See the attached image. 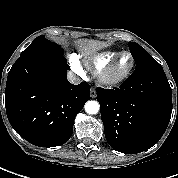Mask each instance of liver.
Listing matches in <instances>:
<instances>
[{"label": "liver", "mask_w": 178, "mask_h": 178, "mask_svg": "<svg viewBox=\"0 0 178 178\" xmlns=\"http://www.w3.org/2000/svg\"><path fill=\"white\" fill-rule=\"evenodd\" d=\"M77 45L82 51L86 53H94L103 47L104 43L96 40H79Z\"/></svg>", "instance_id": "liver-1"}]
</instances>
